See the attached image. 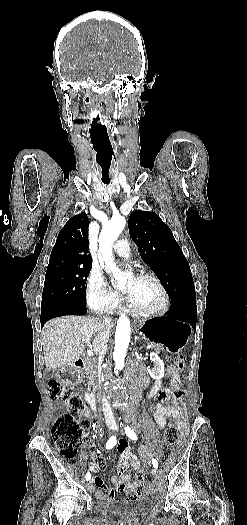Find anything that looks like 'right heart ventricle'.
Here are the masks:
<instances>
[{"label": "right heart ventricle", "mask_w": 247, "mask_h": 525, "mask_svg": "<svg viewBox=\"0 0 247 525\" xmlns=\"http://www.w3.org/2000/svg\"><path fill=\"white\" fill-rule=\"evenodd\" d=\"M128 308H123V309H119V311H125L127 310ZM116 311V308H112V310L110 311L111 313L115 312Z\"/></svg>", "instance_id": "obj_1"}]
</instances>
